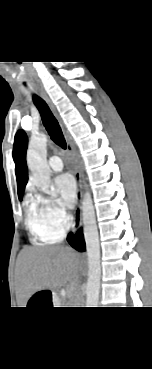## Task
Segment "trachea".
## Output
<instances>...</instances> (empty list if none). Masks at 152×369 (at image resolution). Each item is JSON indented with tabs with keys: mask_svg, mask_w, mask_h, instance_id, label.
<instances>
[{
	"mask_svg": "<svg viewBox=\"0 0 152 369\" xmlns=\"http://www.w3.org/2000/svg\"><path fill=\"white\" fill-rule=\"evenodd\" d=\"M33 100L34 104L36 105L41 114L43 124L53 142L62 147L63 149H66V142L62 130L60 128V125L56 120V118L54 117V115L52 114L48 105L45 103L43 99H41L36 95H34Z\"/></svg>",
	"mask_w": 152,
	"mask_h": 369,
	"instance_id": "3493384b",
	"label": "trachea"
}]
</instances>
